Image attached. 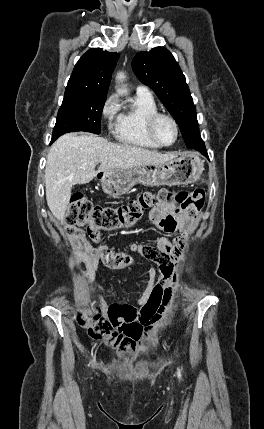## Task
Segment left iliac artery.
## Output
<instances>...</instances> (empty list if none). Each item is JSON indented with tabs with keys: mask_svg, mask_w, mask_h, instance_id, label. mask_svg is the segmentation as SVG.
I'll return each mask as SVG.
<instances>
[{
	"mask_svg": "<svg viewBox=\"0 0 264 429\" xmlns=\"http://www.w3.org/2000/svg\"><path fill=\"white\" fill-rule=\"evenodd\" d=\"M178 377L181 378V372L180 369H178Z\"/></svg>",
	"mask_w": 264,
	"mask_h": 429,
	"instance_id": "44dca946",
	"label": "left iliac artery"
}]
</instances>
